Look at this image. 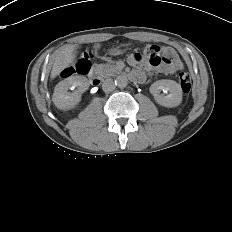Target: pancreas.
Wrapping results in <instances>:
<instances>
[{
  "instance_id": "obj_1",
  "label": "pancreas",
  "mask_w": 232,
  "mask_h": 232,
  "mask_svg": "<svg viewBox=\"0 0 232 232\" xmlns=\"http://www.w3.org/2000/svg\"><path fill=\"white\" fill-rule=\"evenodd\" d=\"M96 71L101 77H110L119 73V70L115 65L111 64H99L96 65Z\"/></svg>"
}]
</instances>
